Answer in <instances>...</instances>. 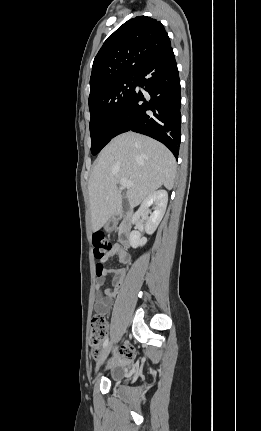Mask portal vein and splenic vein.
<instances>
[{
    "label": "portal vein and splenic vein",
    "instance_id": "portal-vein-and-splenic-vein-1",
    "mask_svg": "<svg viewBox=\"0 0 261 431\" xmlns=\"http://www.w3.org/2000/svg\"><path fill=\"white\" fill-rule=\"evenodd\" d=\"M119 183H120V185H121L122 187H124V188H130V187H132V186H133V183H132V182H130V181H128L127 179H121V180L119 181Z\"/></svg>",
    "mask_w": 261,
    "mask_h": 431
}]
</instances>
